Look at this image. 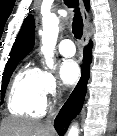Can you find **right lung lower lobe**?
<instances>
[{"mask_svg": "<svg viewBox=\"0 0 117 136\" xmlns=\"http://www.w3.org/2000/svg\"><path fill=\"white\" fill-rule=\"evenodd\" d=\"M91 48L92 43L90 42L84 49L81 79L55 119L54 127L60 136L65 134L69 123L79 114L83 106L89 79L90 63L92 61Z\"/></svg>", "mask_w": 117, "mask_h": 136, "instance_id": "1", "label": "right lung lower lobe"}]
</instances>
